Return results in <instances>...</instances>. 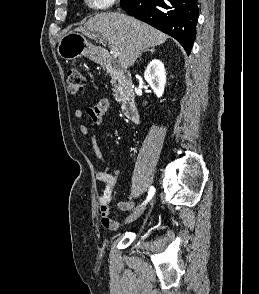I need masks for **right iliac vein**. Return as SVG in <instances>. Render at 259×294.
I'll return each mask as SVG.
<instances>
[{
  "instance_id": "right-iliac-vein-1",
  "label": "right iliac vein",
  "mask_w": 259,
  "mask_h": 294,
  "mask_svg": "<svg viewBox=\"0 0 259 294\" xmlns=\"http://www.w3.org/2000/svg\"><path fill=\"white\" fill-rule=\"evenodd\" d=\"M145 207H140L139 209L135 210L133 213H131L125 220V223H131L138 219L142 213L144 212Z\"/></svg>"
}]
</instances>
